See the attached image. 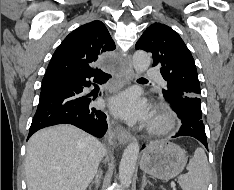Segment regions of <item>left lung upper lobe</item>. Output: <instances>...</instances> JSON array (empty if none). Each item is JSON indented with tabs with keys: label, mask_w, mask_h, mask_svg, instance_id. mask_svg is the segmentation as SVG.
I'll list each match as a JSON object with an SVG mask.
<instances>
[{
	"label": "left lung upper lobe",
	"mask_w": 234,
	"mask_h": 190,
	"mask_svg": "<svg viewBox=\"0 0 234 190\" xmlns=\"http://www.w3.org/2000/svg\"><path fill=\"white\" fill-rule=\"evenodd\" d=\"M135 48L151 52L153 66L161 67L167 81V88L162 89L164 98L184 113L202 120L196 66L181 37L169 26L154 23L144 31Z\"/></svg>",
	"instance_id": "1"
}]
</instances>
